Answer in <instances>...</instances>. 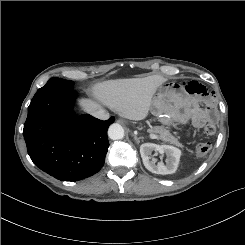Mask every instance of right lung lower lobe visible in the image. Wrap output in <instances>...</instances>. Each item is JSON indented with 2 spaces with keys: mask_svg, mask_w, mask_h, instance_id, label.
Segmentation results:
<instances>
[{
  "mask_svg": "<svg viewBox=\"0 0 245 245\" xmlns=\"http://www.w3.org/2000/svg\"><path fill=\"white\" fill-rule=\"evenodd\" d=\"M73 84L51 82L34 95L23 135L33 163L61 181H78L98 172L109 147L107 129L114 117L102 121L72 111Z\"/></svg>",
  "mask_w": 245,
  "mask_h": 245,
  "instance_id": "obj_1",
  "label": "right lung lower lobe"
}]
</instances>
